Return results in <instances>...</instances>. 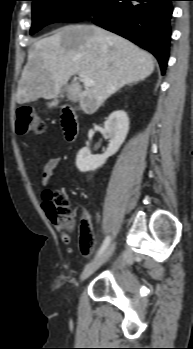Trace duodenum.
Instances as JSON below:
<instances>
[{"label": "duodenum", "instance_id": "1", "mask_svg": "<svg viewBox=\"0 0 193 349\" xmlns=\"http://www.w3.org/2000/svg\"><path fill=\"white\" fill-rule=\"evenodd\" d=\"M62 127L65 138L73 141L78 135L79 125L75 111L70 107H64L62 112Z\"/></svg>", "mask_w": 193, "mask_h": 349}]
</instances>
